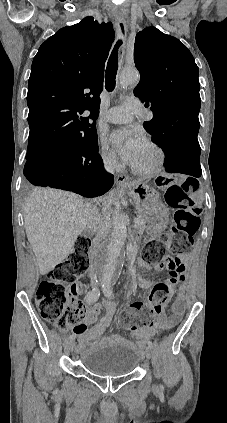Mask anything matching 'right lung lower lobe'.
<instances>
[{"label": "right lung lower lobe", "instance_id": "right-lung-lower-lobe-1", "mask_svg": "<svg viewBox=\"0 0 227 423\" xmlns=\"http://www.w3.org/2000/svg\"><path fill=\"white\" fill-rule=\"evenodd\" d=\"M61 149H49L27 160L24 175L31 184L89 198L100 196L112 187L113 175L105 172L98 146L72 155L64 154Z\"/></svg>", "mask_w": 227, "mask_h": 423}]
</instances>
